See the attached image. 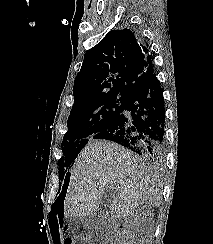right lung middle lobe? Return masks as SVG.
<instances>
[{
  "label": "right lung middle lobe",
  "mask_w": 213,
  "mask_h": 244,
  "mask_svg": "<svg viewBox=\"0 0 213 244\" xmlns=\"http://www.w3.org/2000/svg\"><path fill=\"white\" fill-rule=\"evenodd\" d=\"M129 99L117 95L103 96L71 110L67 121L68 131L62 144L64 156L59 160L61 180L80 150L88 141L94 139L95 135L115 123Z\"/></svg>",
  "instance_id": "dd1d6c3e"
}]
</instances>
